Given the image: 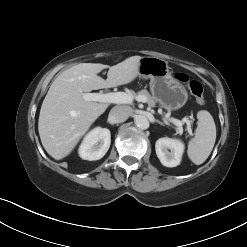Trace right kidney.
Segmentation results:
<instances>
[{"instance_id": "ca27d5eb", "label": "right kidney", "mask_w": 247, "mask_h": 247, "mask_svg": "<svg viewBox=\"0 0 247 247\" xmlns=\"http://www.w3.org/2000/svg\"><path fill=\"white\" fill-rule=\"evenodd\" d=\"M110 143V130L96 127L84 137L79 147V156L84 160H99L107 153Z\"/></svg>"}]
</instances>
